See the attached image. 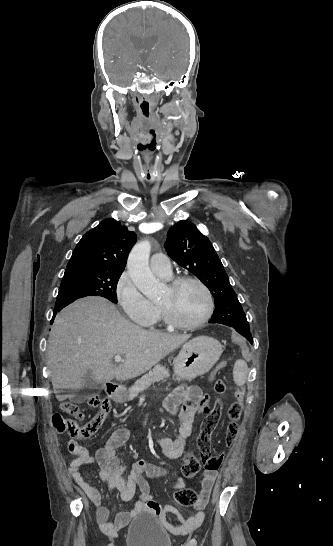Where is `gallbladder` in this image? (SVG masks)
Instances as JSON below:
<instances>
[{
  "label": "gallbladder",
  "instance_id": "obj_1",
  "mask_svg": "<svg viewBox=\"0 0 333 546\" xmlns=\"http://www.w3.org/2000/svg\"><path fill=\"white\" fill-rule=\"evenodd\" d=\"M82 381H83L82 389L85 391V394H79L75 396L74 401L76 402L83 401L87 396L96 394L97 392L101 391L104 387L103 383H99L94 380L90 372H87L83 376Z\"/></svg>",
  "mask_w": 333,
  "mask_h": 546
}]
</instances>
